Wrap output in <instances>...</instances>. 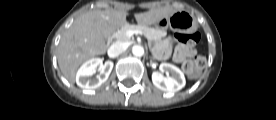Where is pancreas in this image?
<instances>
[{"label":"pancreas","instance_id":"pancreas-1","mask_svg":"<svg viewBox=\"0 0 276 120\" xmlns=\"http://www.w3.org/2000/svg\"><path fill=\"white\" fill-rule=\"evenodd\" d=\"M128 30H140L148 39L149 42L158 41L166 35L165 32L150 28L144 25H126L116 32V37L121 41H126L129 38L126 36Z\"/></svg>","mask_w":276,"mask_h":120}]
</instances>
